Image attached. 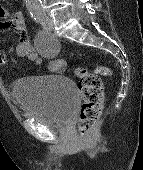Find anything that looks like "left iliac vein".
<instances>
[{"instance_id":"1","label":"left iliac vein","mask_w":143,"mask_h":170,"mask_svg":"<svg viewBox=\"0 0 143 170\" xmlns=\"http://www.w3.org/2000/svg\"><path fill=\"white\" fill-rule=\"evenodd\" d=\"M53 21L50 17H47V27L45 28L48 31H51L53 29Z\"/></svg>"}]
</instances>
